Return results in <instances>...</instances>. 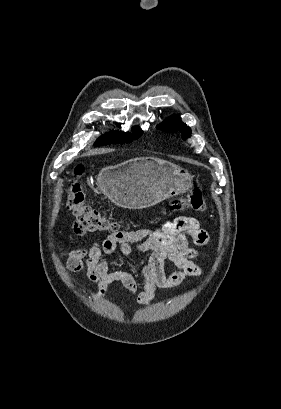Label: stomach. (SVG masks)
I'll return each mask as SVG.
<instances>
[{
	"label": "stomach",
	"mask_w": 281,
	"mask_h": 409,
	"mask_svg": "<svg viewBox=\"0 0 281 409\" xmlns=\"http://www.w3.org/2000/svg\"><path fill=\"white\" fill-rule=\"evenodd\" d=\"M193 176L170 160L137 156L102 168L97 186L123 209H147L157 202L193 188Z\"/></svg>",
	"instance_id": "stomach-1"
}]
</instances>
